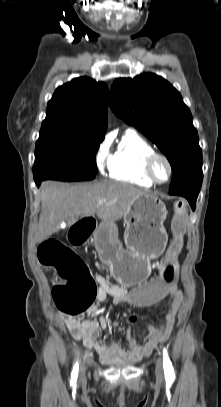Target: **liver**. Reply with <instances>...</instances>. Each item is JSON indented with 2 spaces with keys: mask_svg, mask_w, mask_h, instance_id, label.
Wrapping results in <instances>:
<instances>
[{
  "mask_svg": "<svg viewBox=\"0 0 221 407\" xmlns=\"http://www.w3.org/2000/svg\"><path fill=\"white\" fill-rule=\"evenodd\" d=\"M143 194L146 193L120 182L69 185L45 181L40 187L42 212L35 241L46 240L62 223L73 225L79 218L95 214L112 225L126 214L134 198ZM99 200L106 202L99 204Z\"/></svg>",
  "mask_w": 221,
  "mask_h": 407,
  "instance_id": "1",
  "label": "liver"
}]
</instances>
